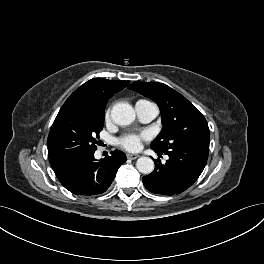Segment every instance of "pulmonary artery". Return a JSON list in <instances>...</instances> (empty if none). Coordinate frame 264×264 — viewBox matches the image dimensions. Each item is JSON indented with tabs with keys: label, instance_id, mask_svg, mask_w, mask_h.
<instances>
[{
	"label": "pulmonary artery",
	"instance_id": "e3ab8cb5",
	"mask_svg": "<svg viewBox=\"0 0 264 264\" xmlns=\"http://www.w3.org/2000/svg\"><path fill=\"white\" fill-rule=\"evenodd\" d=\"M138 118L143 123L152 121L158 114V109L155 104L149 101H141L135 106Z\"/></svg>",
	"mask_w": 264,
	"mask_h": 264
}]
</instances>
